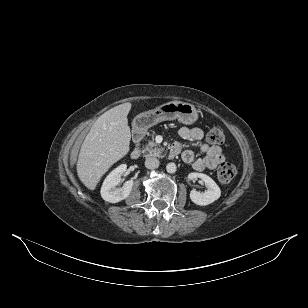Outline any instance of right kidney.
<instances>
[{
  "label": "right kidney",
  "mask_w": 308,
  "mask_h": 308,
  "mask_svg": "<svg viewBox=\"0 0 308 308\" xmlns=\"http://www.w3.org/2000/svg\"><path fill=\"white\" fill-rule=\"evenodd\" d=\"M126 164H122L115 168L106 177L101 188V196L105 201L117 203L126 199L132 190L133 180L126 181L122 188H116L120 183L122 174L126 171Z\"/></svg>",
  "instance_id": "obj_1"
}]
</instances>
